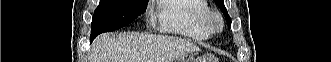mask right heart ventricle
Here are the masks:
<instances>
[{"label": "right heart ventricle", "instance_id": "right-heart-ventricle-1", "mask_svg": "<svg viewBox=\"0 0 331 62\" xmlns=\"http://www.w3.org/2000/svg\"><path fill=\"white\" fill-rule=\"evenodd\" d=\"M158 9L162 30L193 40H206L211 37L213 31L206 20L209 13L206 1L162 0Z\"/></svg>", "mask_w": 331, "mask_h": 62}]
</instances>
